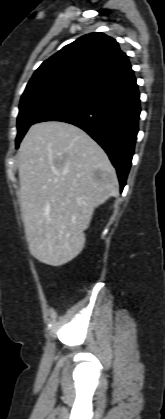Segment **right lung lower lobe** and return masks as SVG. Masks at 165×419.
Listing matches in <instances>:
<instances>
[{
  "label": "right lung lower lobe",
  "instance_id": "obj_1",
  "mask_svg": "<svg viewBox=\"0 0 165 419\" xmlns=\"http://www.w3.org/2000/svg\"><path fill=\"white\" fill-rule=\"evenodd\" d=\"M140 111V94L131 71L48 112L38 122L63 121L86 131L108 154L122 192L134 154Z\"/></svg>",
  "mask_w": 165,
  "mask_h": 419
}]
</instances>
